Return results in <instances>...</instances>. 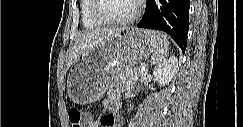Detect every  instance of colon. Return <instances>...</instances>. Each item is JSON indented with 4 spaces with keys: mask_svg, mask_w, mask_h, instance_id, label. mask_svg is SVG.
I'll return each instance as SVG.
<instances>
[{
    "mask_svg": "<svg viewBox=\"0 0 243 127\" xmlns=\"http://www.w3.org/2000/svg\"><path fill=\"white\" fill-rule=\"evenodd\" d=\"M68 119L72 127H83L86 123V117H84L82 111L76 107H72L68 110Z\"/></svg>",
    "mask_w": 243,
    "mask_h": 127,
    "instance_id": "5ec220e1",
    "label": "colon"
}]
</instances>
